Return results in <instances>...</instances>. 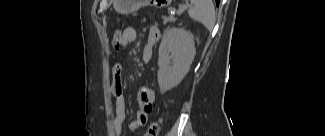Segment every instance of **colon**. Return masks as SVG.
I'll list each match as a JSON object with an SVG mask.
<instances>
[{"label": "colon", "instance_id": "5ec220e1", "mask_svg": "<svg viewBox=\"0 0 325 136\" xmlns=\"http://www.w3.org/2000/svg\"><path fill=\"white\" fill-rule=\"evenodd\" d=\"M124 27H118L114 30L113 43L116 49H120L123 40ZM161 128V121L151 123L143 136H158Z\"/></svg>", "mask_w": 325, "mask_h": 136}]
</instances>
